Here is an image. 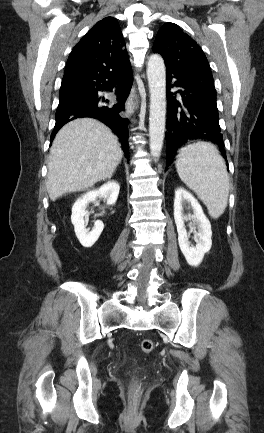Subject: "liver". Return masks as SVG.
Here are the masks:
<instances>
[{
  "label": "liver",
  "mask_w": 264,
  "mask_h": 433,
  "mask_svg": "<svg viewBox=\"0 0 264 433\" xmlns=\"http://www.w3.org/2000/svg\"><path fill=\"white\" fill-rule=\"evenodd\" d=\"M122 157L118 138L104 124L90 118L69 122L50 149L46 183L50 199L110 178Z\"/></svg>",
  "instance_id": "obj_1"
}]
</instances>
